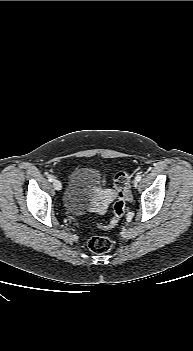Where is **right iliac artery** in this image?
Listing matches in <instances>:
<instances>
[{
  "instance_id": "right-iliac-artery-1",
  "label": "right iliac artery",
  "mask_w": 193,
  "mask_h": 351,
  "mask_svg": "<svg viewBox=\"0 0 193 351\" xmlns=\"http://www.w3.org/2000/svg\"><path fill=\"white\" fill-rule=\"evenodd\" d=\"M48 180H49L50 182H53L54 179H53L52 176H49V177H48Z\"/></svg>"
}]
</instances>
